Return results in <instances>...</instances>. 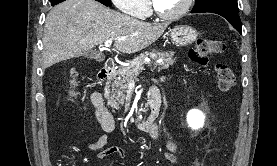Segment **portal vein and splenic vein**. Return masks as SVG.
<instances>
[{
  "instance_id": "18ae733b",
  "label": "portal vein and splenic vein",
  "mask_w": 277,
  "mask_h": 166,
  "mask_svg": "<svg viewBox=\"0 0 277 166\" xmlns=\"http://www.w3.org/2000/svg\"><path fill=\"white\" fill-rule=\"evenodd\" d=\"M119 40H121V39H115V41H119ZM112 42H113L112 39L107 40V41L105 42V47H106V49H108V48L111 46Z\"/></svg>"
}]
</instances>
